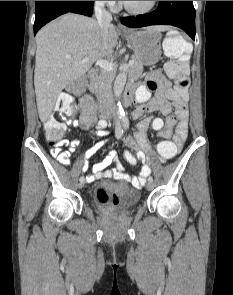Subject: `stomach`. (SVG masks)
I'll return each mask as SVG.
<instances>
[{
  "label": "stomach",
  "instance_id": "0dacf381",
  "mask_svg": "<svg viewBox=\"0 0 233 295\" xmlns=\"http://www.w3.org/2000/svg\"><path fill=\"white\" fill-rule=\"evenodd\" d=\"M123 36L132 45L135 58L143 65L156 64L161 58V33L156 27L129 30Z\"/></svg>",
  "mask_w": 233,
  "mask_h": 295
}]
</instances>
